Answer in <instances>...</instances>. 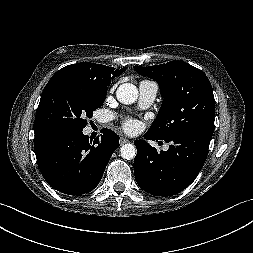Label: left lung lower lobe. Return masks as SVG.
<instances>
[{"mask_svg":"<svg viewBox=\"0 0 253 253\" xmlns=\"http://www.w3.org/2000/svg\"><path fill=\"white\" fill-rule=\"evenodd\" d=\"M146 140L171 142L167 151L158 152L144 140H136L134 174L138 185L156 196L175 195L199 174L208 155L212 133L197 130L159 139L146 132Z\"/></svg>","mask_w":253,"mask_h":253,"instance_id":"obj_1","label":"left lung lower lobe"}]
</instances>
